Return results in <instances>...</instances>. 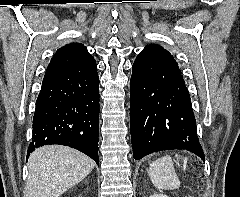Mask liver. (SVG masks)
I'll list each match as a JSON object with an SVG mask.
<instances>
[{"label": "liver", "instance_id": "liver-1", "mask_svg": "<svg viewBox=\"0 0 240 197\" xmlns=\"http://www.w3.org/2000/svg\"><path fill=\"white\" fill-rule=\"evenodd\" d=\"M94 166L91 158L73 148L40 147L28 159L25 197H59L81 182Z\"/></svg>", "mask_w": 240, "mask_h": 197}]
</instances>
